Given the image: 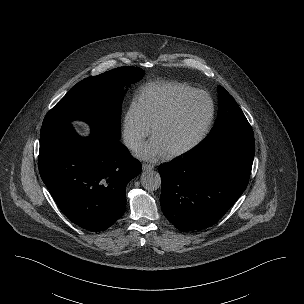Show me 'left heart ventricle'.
Masks as SVG:
<instances>
[{"label": "left heart ventricle", "mask_w": 304, "mask_h": 304, "mask_svg": "<svg viewBox=\"0 0 304 304\" xmlns=\"http://www.w3.org/2000/svg\"><path fill=\"white\" fill-rule=\"evenodd\" d=\"M209 112L206 99L197 97L182 108L156 131V137L167 152L178 150L189 144L200 132Z\"/></svg>", "instance_id": "b2bd125f"}]
</instances>
